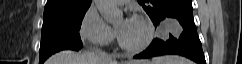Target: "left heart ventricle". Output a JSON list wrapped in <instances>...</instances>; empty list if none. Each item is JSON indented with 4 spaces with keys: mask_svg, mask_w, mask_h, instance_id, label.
Segmentation results:
<instances>
[{
    "mask_svg": "<svg viewBox=\"0 0 242 64\" xmlns=\"http://www.w3.org/2000/svg\"><path fill=\"white\" fill-rule=\"evenodd\" d=\"M117 28L123 40L130 45L140 44L147 35L146 27L136 20H132L131 25L125 28V20L122 19L117 23Z\"/></svg>",
    "mask_w": 242,
    "mask_h": 64,
    "instance_id": "b2bd125f",
    "label": "left heart ventricle"
}]
</instances>
